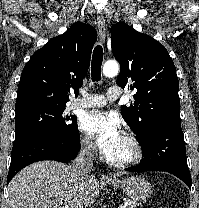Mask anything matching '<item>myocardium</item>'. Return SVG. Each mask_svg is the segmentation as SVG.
<instances>
[{
  "mask_svg": "<svg viewBox=\"0 0 199 208\" xmlns=\"http://www.w3.org/2000/svg\"><path fill=\"white\" fill-rule=\"evenodd\" d=\"M123 136L125 139L132 145L134 149V154L131 158L125 159V160H116L108 157L105 155V161L113 167L117 168H128L134 165H137L140 163V161L143 159L144 156V148L141 143V141L138 139V137L133 132H124Z\"/></svg>",
  "mask_w": 199,
  "mask_h": 208,
  "instance_id": "1",
  "label": "myocardium"
}]
</instances>
